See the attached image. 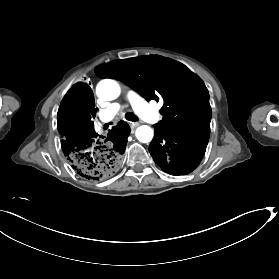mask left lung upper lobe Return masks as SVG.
Instances as JSON below:
<instances>
[{
	"label": "left lung upper lobe",
	"instance_id": "1",
	"mask_svg": "<svg viewBox=\"0 0 279 279\" xmlns=\"http://www.w3.org/2000/svg\"><path fill=\"white\" fill-rule=\"evenodd\" d=\"M95 73L99 78L124 82L147 101L162 99L163 119L156 126L179 134L209 136V93L203 81L182 63L145 55L101 64Z\"/></svg>",
	"mask_w": 279,
	"mask_h": 279
}]
</instances>
